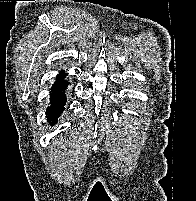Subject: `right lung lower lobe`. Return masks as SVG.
<instances>
[{
  "label": "right lung lower lobe",
  "instance_id": "right-lung-lower-lobe-1",
  "mask_svg": "<svg viewBox=\"0 0 196 201\" xmlns=\"http://www.w3.org/2000/svg\"><path fill=\"white\" fill-rule=\"evenodd\" d=\"M67 75L64 71L58 74L56 82L52 86L51 94V106L47 108L46 114L48 116V122L52 125L57 121V117L65 110L66 103L65 90L69 85V82L63 78Z\"/></svg>",
  "mask_w": 196,
  "mask_h": 201
}]
</instances>
